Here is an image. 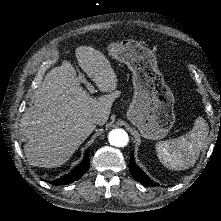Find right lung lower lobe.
Segmentation results:
<instances>
[{"label":"right lung lower lobe","mask_w":221,"mask_h":221,"mask_svg":"<svg viewBox=\"0 0 221 221\" xmlns=\"http://www.w3.org/2000/svg\"><path fill=\"white\" fill-rule=\"evenodd\" d=\"M90 159L88 155L84 158V160L75 167L69 174L62 176L60 179L51 181L49 183L53 185H65L71 182L78 180L86 171L89 169Z\"/></svg>","instance_id":"1"}]
</instances>
